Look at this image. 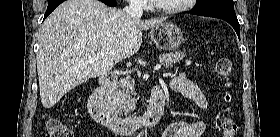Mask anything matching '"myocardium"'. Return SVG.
Masks as SVG:
<instances>
[{
    "label": "myocardium",
    "instance_id": "f54148a6",
    "mask_svg": "<svg viewBox=\"0 0 280 137\" xmlns=\"http://www.w3.org/2000/svg\"><path fill=\"white\" fill-rule=\"evenodd\" d=\"M192 2L191 0H182V3L178 6L170 7V8H162L159 5L155 4L153 0L150 1V5L153 10L164 13V14H176L181 11H184L188 8L189 3Z\"/></svg>",
    "mask_w": 280,
    "mask_h": 137
}]
</instances>
